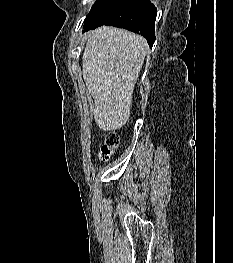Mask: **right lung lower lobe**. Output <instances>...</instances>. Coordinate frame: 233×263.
Masks as SVG:
<instances>
[{
	"label": "right lung lower lobe",
	"instance_id": "98d812e1",
	"mask_svg": "<svg viewBox=\"0 0 233 263\" xmlns=\"http://www.w3.org/2000/svg\"><path fill=\"white\" fill-rule=\"evenodd\" d=\"M156 7L149 0H129L111 19L104 23L85 21L84 30L111 25L141 34L150 47L155 42Z\"/></svg>",
	"mask_w": 233,
	"mask_h": 263
}]
</instances>
